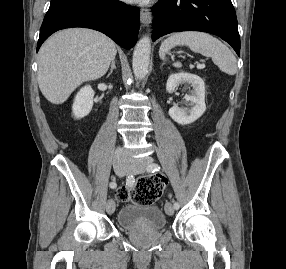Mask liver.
<instances>
[{
  "label": "liver",
  "mask_w": 286,
  "mask_h": 269,
  "mask_svg": "<svg viewBox=\"0 0 286 269\" xmlns=\"http://www.w3.org/2000/svg\"><path fill=\"white\" fill-rule=\"evenodd\" d=\"M117 53L106 35L85 28L59 31L47 39L38 55V84L53 104L64 103L83 82L108 71Z\"/></svg>",
  "instance_id": "6515ba94"
}]
</instances>
